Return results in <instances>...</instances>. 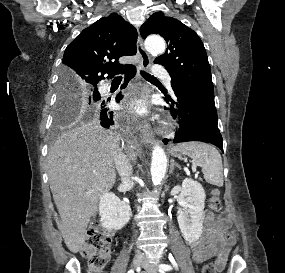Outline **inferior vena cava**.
Returning a JSON list of instances; mask_svg holds the SVG:
<instances>
[{"label":"inferior vena cava","instance_id":"602c4592","mask_svg":"<svg viewBox=\"0 0 285 273\" xmlns=\"http://www.w3.org/2000/svg\"><path fill=\"white\" fill-rule=\"evenodd\" d=\"M115 167L121 177V181L124 185L132 188L134 183L130 180V176L133 173L132 166L129 162L127 156L122 152L121 149H118L114 159Z\"/></svg>","mask_w":285,"mask_h":273}]
</instances>
